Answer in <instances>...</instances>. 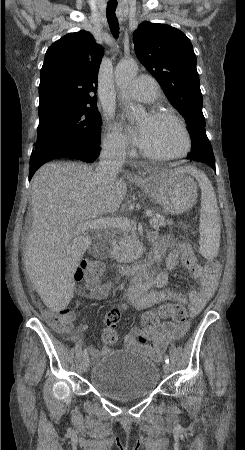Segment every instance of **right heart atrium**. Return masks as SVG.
<instances>
[{"label": "right heart atrium", "mask_w": 245, "mask_h": 450, "mask_svg": "<svg viewBox=\"0 0 245 450\" xmlns=\"http://www.w3.org/2000/svg\"><path fill=\"white\" fill-rule=\"evenodd\" d=\"M103 144L106 150L115 155H122L128 149L126 137L116 126L113 125H110L107 128V133L104 137Z\"/></svg>", "instance_id": "1"}]
</instances>
